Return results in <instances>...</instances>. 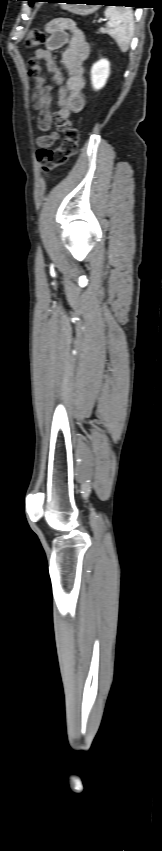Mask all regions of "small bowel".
<instances>
[{"label":"small bowel","instance_id":"obj_1","mask_svg":"<svg viewBox=\"0 0 162 851\" xmlns=\"http://www.w3.org/2000/svg\"><path fill=\"white\" fill-rule=\"evenodd\" d=\"M46 31L49 36L45 46L37 49L34 58L28 62V73L35 79L32 106L39 111L37 125L41 131H49L53 123L59 128L68 125L71 114L84 108V62L90 54L85 35L74 20L54 19L46 24ZM62 47L65 50L61 54V63L68 73L66 82L52 55L54 50ZM37 61L45 63L48 74L60 86L55 111L51 110V86L41 74ZM59 137L60 133L55 132L39 136L36 142L39 147H50Z\"/></svg>","mask_w":162,"mask_h":851}]
</instances>
